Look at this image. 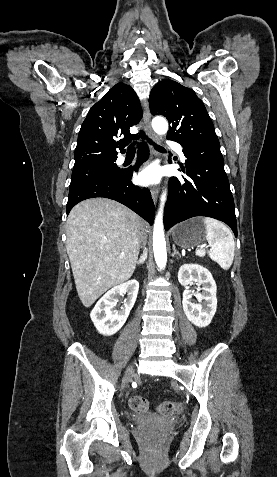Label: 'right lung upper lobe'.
<instances>
[{"instance_id": "1", "label": "right lung upper lobe", "mask_w": 277, "mask_h": 477, "mask_svg": "<svg viewBox=\"0 0 277 477\" xmlns=\"http://www.w3.org/2000/svg\"><path fill=\"white\" fill-rule=\"evenodd\" d=\"M141 117L140 101L132 87L123 83L112 87L90 108L80 128L74 168L116 160V148L125 152L124 146L136 136L129 129ZM120 136L123 138L116 142Z\"/></svg>"}]
</instances>
